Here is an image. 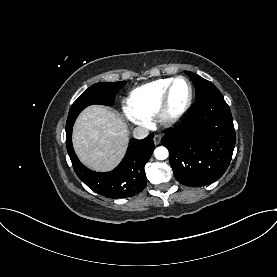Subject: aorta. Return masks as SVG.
<instances>
[{
  "label": "aorta",
  "mask_w": 277,
  "mask_h": 277,
  "mask_svg": "<svg viewBox=\"0 0 277 277\" xmlns=\"http://www.w3.org/2000/svg\"><path fill=\"white\" fill-rule=\"evenodd\" d=\"M154 155L155 158L158 160H165L168 157L169 153L167 148H165L164 146H160L154 150Z\"/></svg>",
  "instance_id": "1"
}]
</instances>
